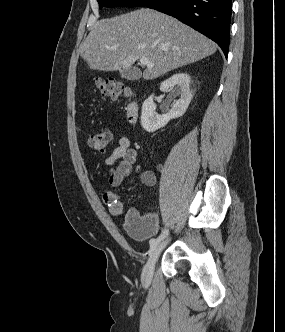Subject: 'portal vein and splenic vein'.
<instances>
[{
	"label": "portal vein and splenic vein",
	"mask_w": 285,
	"mask_h": 332,
	"mask_svg": "<svg viewBox=\"0 0 285 332\" xmlns=\"http://www.w3.org/2000/svg\"><path fill=\"white\" fill-rule=\"evenodd\" d=\"M140 63L142 64V65H146L147 67H150V68H152L153 66H154V64L153 63H151L147 58H145V57H142L141 59H140Z\"/></svg>",
	"instance_id": "18ae733b"
}]
</instances>
